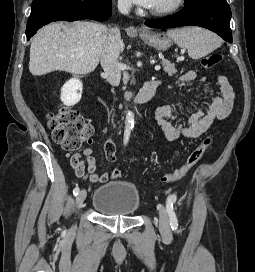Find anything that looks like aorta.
<instances>
[{
    "label": "aorta",
    "instance_id": "aorta-1",
    "mask_svg": "<svg viewBox=\"0 0 255 272\" xmlns=\"http://www.w3.org/2000/svg\"><path fill=\"white\" fill-rule=\"evenodd\" d=\"M134 120V113L132 111H128L125 117L126 129H132L134 127Z\"/></svg>",
    "mask_w": 255,
    "mask_h": 272
}]
</instances>
